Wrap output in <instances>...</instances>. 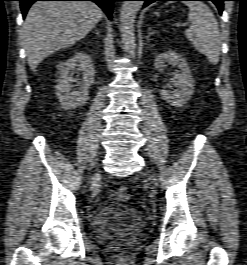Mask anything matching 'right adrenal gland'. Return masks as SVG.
<instances>
[{
  "label": "right adrenal gland",
  "instance_id": "right-adrenal-gland-1",
  "mask_svg": "<svg viewBox=\"0 0 247 265\" xmlns=\"http://www.w3.org/2000/svg\"><path fill=\"white\" fill-rule=\"evenodd\" d=\"M98 37H100V32L97 28H95V32H94Z\"/></svg>",
  "mask_w": 247,
  "mask_h": 265
}]
</instances>
